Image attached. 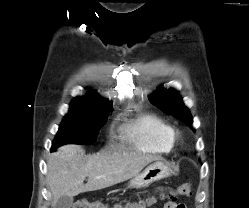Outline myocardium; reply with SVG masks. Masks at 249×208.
Returning <instances> with one entry per match:
<instances>
[{
  "mask_svg": "<svg viewBox=\"0 0 249 208\" xmlns=\"http://www.w3.org/2000/svg\"><path fill=\"white\" fill-rule=\"evenodd\" d=\"M176 138H177L176 135H174V142H175Z\"/></svg>",
  "mask_w": 249,
  "mask_h": 208,
  "instance_id": "1",
  "label": "myocardium"
}]
</instances>
